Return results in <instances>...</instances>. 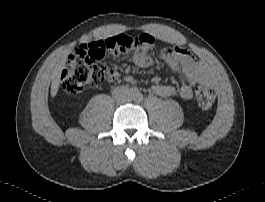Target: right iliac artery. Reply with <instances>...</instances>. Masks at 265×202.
Here are the masks:
<instances>
[{
	"label": "right iliac artery",
	"mask_w": 265,
	"mask_h": 202,
	"mask_svg": "<svg viewBox=\"0 0 265 202\" xmlns=\"http://www.w3.org/2000/svg\"><path fill=\"white\" fill-rule=\"evenodd\" d=\"M136 91H137L136 88H134V87L131 88V92H132V93H136Z\"/></svg>",
	"instance_id": "obj_1"
}]
</instances>
